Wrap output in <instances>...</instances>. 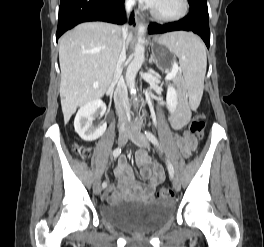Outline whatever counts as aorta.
<instances>
[{"label": "aorta", "mask_w": 264, "mask_h": 247, "mask_svg": "<svg viewBox=\"0 0 264 247\" xmlns=\"http://www.w3.org/2000/svg\"><path fill=\"white\" fill-rule=\"evenodd\" d=\"M146 33V27L143 24H140L138 26V41L137 44L135 45L134 52H133V60L131 63L128 65L127 70H126V83L127 86L130 90V93L132 96H136V88H135V78L137 75V72L141 68L145 56V39L144 35Z\"/></svg>", "instance_id": "obj_1"}]
</instances>
